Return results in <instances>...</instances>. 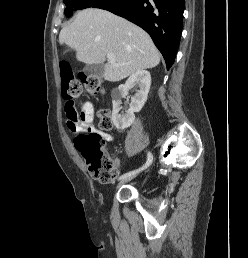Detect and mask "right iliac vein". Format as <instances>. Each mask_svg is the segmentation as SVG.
I'll return each instance as SVG.
<instances>
[{
	"mask_svg": "<svg viewBox=\"0 0 248 258\" xmlns=\"http://www.w3.org/2000/svg\"><path fill=\"white\" fill-rule=\"evenodd\" d=\"M136 175H137V174H134V175H131V176H128V177L122 179V180L118 183V186H117V187L121 186V185L124 184V183H127V182L131 181L134 177H136Z\"/></svg>",
	"mask_w": 248,
	"mask_h": 258,
	"instance_id": "63e3f726",
	"label": "right iliac vein"
}]
</instances>
